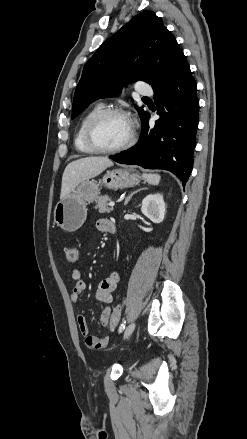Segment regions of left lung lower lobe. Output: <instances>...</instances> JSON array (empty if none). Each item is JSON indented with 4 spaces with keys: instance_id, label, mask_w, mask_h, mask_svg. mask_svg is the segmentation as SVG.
<instances>
[{
    "instance_id": "obj_1",
    "label": "left lung lower lobe",
    "mask_w": 247,
    "mask_h": 439,
    "mask_svg": "<svg viewBox=\"0 0 247 439\" xmlns=\"http://www.w3.org/2000/svg\"><path fill=\"white\" fill-rule=\"evenodd\" d=\"M154 90L155 104L161 115L149 128V113L142 119L140 140L131 149L110 158L121 164L147 169H164L175 174L183 186L192 170L199 101L196 82L184 58L170 77ZM163 105L168 113L165 114Z\"/></svg>"
}]
</instances>
